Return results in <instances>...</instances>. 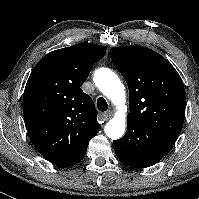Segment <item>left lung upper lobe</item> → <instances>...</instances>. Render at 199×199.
<instances>
[{
	"mask_svg": "<svg viewBox=\"0 0 199 199\" xmlns=\"http://www.w3.org/2000/svg\"><path fill=\"white\" fill-rule=\"evenodd\" d=\"M110 57L129 87L128 120L177 140L186 96L175 68L157 52L138 46L113 47Z\"/></svg>",
	"mask_w": 199,
	"mask_h": 199,
	"instance_id": "left-lung-upper-lobe-1",
	"label": "left lung upper lobe"
}]
</instances>
